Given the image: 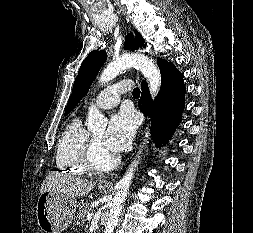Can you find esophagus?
Instances as JSON below:
<instances>
[{
    "label": "esophagus",
    "mask_w": 253,
    "mask_h": 233,
    "mask_svg": "<svg viewBox=\"0 0 253 233\" xmlns=\"http://www.w3.org/2000/svg\"><path fill=\"white\" fill-rule=\"evenodd\" d=\"M100 185L110 187V186H112V183L105 180V181H102V182L100 183Z\"/></svg>",
    "instance_id": "1"
}]
</instances>
